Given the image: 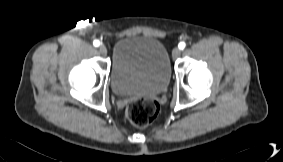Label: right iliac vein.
I'll return each mask as SVG.
<instances>
[{
    "instance_id": "63e3f726",
    "label": "right iliac vein",
    "mask_w": 283,
    "mask_h": 162,
    "mask_svg": "<svg viewBox=\"0 0 283 162\" xmlns=\"http://www.w3.org/2000/svg\"><path fill=\"white\" fill-rule=\"evenodd\" d=\"M99 51H100V53H101L102 55H106V54H107V48H106V46L103 45V44H101V45L99 46Z\"/></svg>"
}]
</instances>
